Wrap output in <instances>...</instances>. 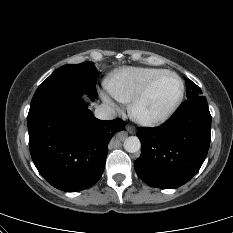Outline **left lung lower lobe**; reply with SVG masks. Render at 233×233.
<instances>
[{"mask_svg": "<svg viewBox=\"0 0 233 233\" xmlns=\"http://www.w3.org/2000/svg\"><path fill=\"white\" fill-rule=\"evenodd\" d=\"M211 115L204 96L188 99L159 128H139L141 156L137 175L149 186L175 189L187 183L202 166L209 149Z\"/></svg>", "mask_w": 233, "mask_h": 233, "instance_id": "obj_1", "label": "left lung lower lobe"}]
</instances>
